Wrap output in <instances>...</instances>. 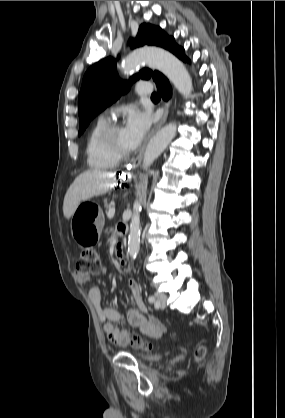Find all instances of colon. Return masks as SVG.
<instances>
[{
	"label": "colon",
	"mask_w": 285,
	"mask_h": 418,
	"mask_svg": "<svg viewBox=\"0 0 285 418\" xmlns=\"http://www.w3.org/2000/svg\"><path fill=\"white\" fill-rule=\"evenodd\" d=\"M117 255L122 257L123 250L121 244L117 245ZM99 270L98 254L92 249H83L77 263V271L80 274H94ZM128 342L135 348L152 351L154 346L143 340L139 335L131 333ZM206 355V348L203 345L198 346L194 351L195 361H201Z\"/></svg>",
	"instance_id": "colon-1"
}]
</instances>
